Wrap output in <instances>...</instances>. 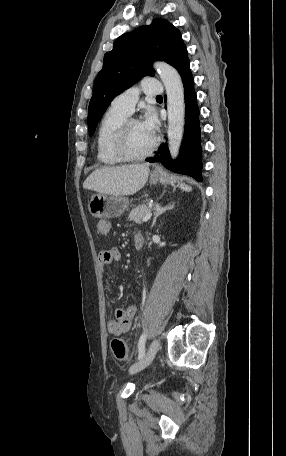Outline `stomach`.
Here are the masks:
<instances>
[{"label": "stomach", "instance_id": "0dacf381", "mask_svg": "<svg viewBox=\"0 0 286 456\" xmlns=\"http://www.w3.org/2000/svg\"><path fill=\"white\" fill-rule=\"evenodd\" d=\"M159 179V174L152 173L150 183L156 184ZM128 205L129 199L124 196L97 194L91 197L88 210L96 218H114L121 216Z\"/></svg>", "mask_w": 286, "mask_h": 456}]
</instances>
